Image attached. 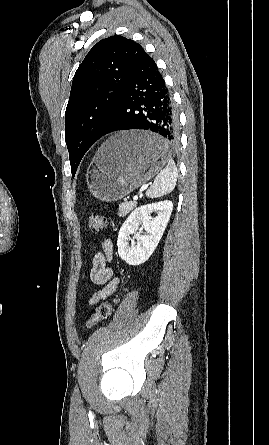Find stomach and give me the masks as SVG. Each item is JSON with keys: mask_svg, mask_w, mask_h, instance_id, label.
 Instances as JSON below:
<instances>
[{"mask_svg": "<svg viewBox=\"0 0 269 445\" xmlns=\"http://www.w3.org/2000/svg\"><path fill=\"white\" fill-rule=\"evenodd\" d=\"M166 140L146 131H122L98 149L88 186L98 200L113 202L154 177L169 159Z\"/></svg>", "mask_w": 269, "mask_h": 445, "instance_id": "1", "label": "stomach"}]
</instances>
